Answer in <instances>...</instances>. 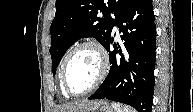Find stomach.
<instances>
[{"mask_svg":"<svg viewBox=\"0 0 193 112\" xmlns=\"http://www.w3.org/2000/svg\"><path fill=\"white\" fill-rule=\"evenodd\" d=\"M78 112H114L113 108L105 100L93 101V103Z\"/></svg>","mask_w":193,"mask_h":112,"instance_id":"0dacf381","label":"stomach"}]
</instances>
